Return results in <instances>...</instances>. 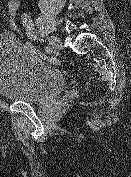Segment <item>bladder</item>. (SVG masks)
<instances>
[{
	"mask_svg": "<svg viewBox=\"0 0 131 177\" xmlns=\"http://www.w3.org/2000/svg\"><path fill=\"white\" fill-rule=\"evenodd\" d=\"M67 85L62 70L35 55L15 33H0V96L39 104L61 94Z\"/></svg>",
	"mask_w": 131,
	"mask_h": 177,
	"instance_id": "bladder-1",
	"label": "bladder"
}]
</instances>
